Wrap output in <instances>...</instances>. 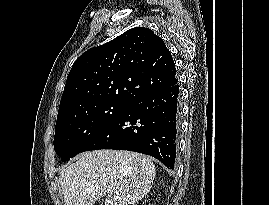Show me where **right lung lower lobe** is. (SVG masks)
I'll use <instances>...</instances> for the list:
<instances>
[{
    "instance_id": "right-lung-lower-lobe-1",
    "label": "right lung lower lobe",
    "mask_w": 269,
    "mask_h": 205,
    "mask_svg": "<svg viewBox=\"0 0 269 205\" xmlns=\"http://www.w3.org/2000/svg\"><path fill=\"white\" fill-rule=\"evenodd\" d=\"M180 124L179 85L135 99L82 152L97 149L129 150L157 158L175 167Z\"/></svg>"
}]
</instances>
